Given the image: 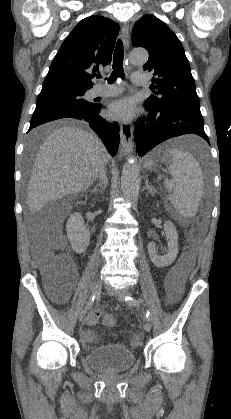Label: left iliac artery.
Wrapping results in <instances>:
<instances>
[{
    "label": "left iliac artery",
    "instance_id": "44dca946",
    "mask_svg": "<svg viewBox=\"0 0 231 419\" xmlns=\"http://www.w3.org/2000/svg\"><path fill=\"white\" fill-rule=\"evenodd\" d=\"M125 301L130 306H139L140 303H141L140 301L135 300L133 297H131L129 295L125 297ZM146 318H147L148 321H151V313L149 311L146 312Z\"/></svg>",
    "mask_w": 231,
    "mask_h": 419
}]
</instances>
